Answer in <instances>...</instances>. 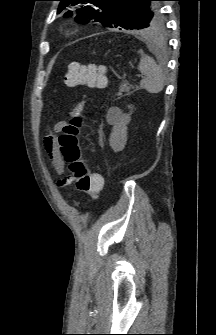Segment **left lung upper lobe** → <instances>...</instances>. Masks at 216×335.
<instances>
[{
	"label": "left lung upper lobe",
	"instance_id": "obj_1",
	"mask_svg": "<svg viewBox=\"0 0 216 335\" xmlns=\"http://www.w3.org/2000/svg\"><path fill=\"white\" fill-rule=\"evenodd\" d=\"M57 13L78 5L76 20L82 23L99 22L105 27L138 29L158 33L164 29L160 0H58ZM72 12H66L65 17Z\"/></svg>",
	"mask_w": 216,
	"mask_h": 335
}]
</instances>
